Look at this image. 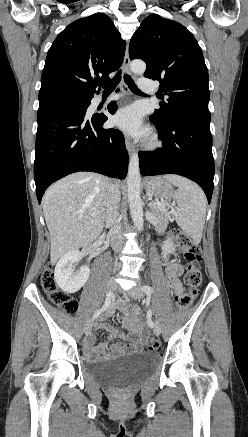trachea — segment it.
<instances>
[{"mask_svg": "<svg viewBox=\"0 0 248 437\" xmlns=\"http://www.w3.org/2000/svg\"><path fill=\"white\" fill-rule=\"evenodd\" d=\"M124 79L127 82L130 90L134 93L137 94H141L142 92L138 89V87L136 86V84L134 83V81L131 79V77L129 75H124ZM121 80V70L117 72V74L115 75V77L110 80V81H102L100 82V85L104 88V92L105 93H111L116 86L118 85V83Z\"/></svg>", "mask_w": 248, "mask_h": 437, "instance_id": "3493384b", "label": "trachea"}]
</instances>
